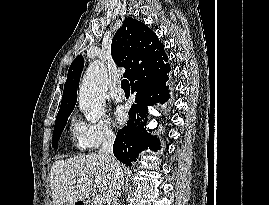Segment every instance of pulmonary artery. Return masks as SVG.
Segmentation results:
<instances>
[{"instance_id":"obj_1","label":"pulmonary artery","mask_w":269,"mask_h":205,"mask_svg":"<svg viewBox=\"0 0 269 205\" xmlns=\"http://www.w3.org/2000/svg\"><path fill=\"white\" fill-rule=\"evenodd\" d=\"M111 97L115 102H122L125 99V94L123 90L118 87L111 93Z\"/></svg>"}]
</instances>
